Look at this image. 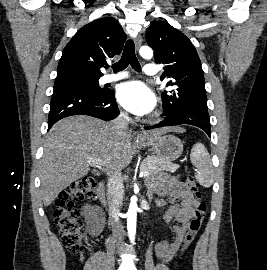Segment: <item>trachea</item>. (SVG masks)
<instances>
[{"label":"trachea","instance_id":"1","mask_svg":"<svg viewBox=\"0 0 267 270\" xmlns=\"http://www.w3.org/2000/svg\"><path fill=\"white\" fill-rule=\"evenodd\" d=\"M129 64L134 70L138 72L141 71V66L135 55L134 42L131 39L126 42L120 61L113 64L112 68L114 72H118L124 70ZM108 67L109 66L107 65L106 68Z\"/></svg>","mask_w":267,"mask_h":270}]
</instances>
